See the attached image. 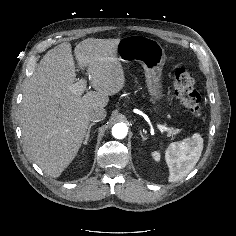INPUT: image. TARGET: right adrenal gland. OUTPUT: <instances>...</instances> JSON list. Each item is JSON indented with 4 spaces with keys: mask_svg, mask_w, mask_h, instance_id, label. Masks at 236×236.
<instances>
[{
    "mask_svg": "<svg viewBox=\"0 0 236 236\" xmlns=\"http://www.w3.org/2000/svg\"><path fill=\"white\" fill-rule=\"evenodd\" d=\"M95 123H91L88 127V130H87V133L85 135V140H84V144H87L88 140H89V136H90V131H91V128L92 126H94Z\"/></svg>",
    "mask_w": 236,
    "mask_h": 236,
    "instance_id": "1",
    "label": "right adrenal gland"
}]
</instances>
